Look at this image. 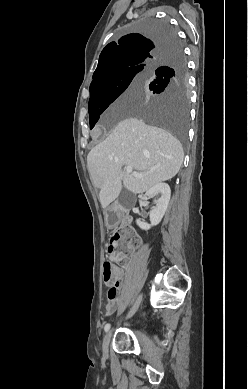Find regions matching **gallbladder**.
Listing matches in <instances>:
<instances>
[{
	"instance_id": "obj_1",
	"label": "gallbladder",
	"mask_w": 248,
	"mask_h": 389,
	"mask_svg": "<svg viewBox=\"0 0 248 389\" xmlns=\"http://www.w3.org/2000/svg\"><path fill=\"white\" fill-rule=\"evenodd\" d=\"M131 200H132L131 194L126 189H123L120 192L118 197L119 203L125 207H128L131 203Z\"/></svg>"
}]
</instances>
